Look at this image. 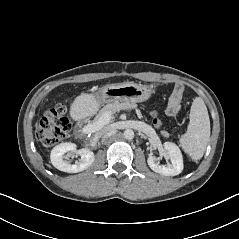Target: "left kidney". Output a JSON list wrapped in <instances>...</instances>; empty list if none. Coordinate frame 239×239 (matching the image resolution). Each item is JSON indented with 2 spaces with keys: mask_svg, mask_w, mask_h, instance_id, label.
<instances>
[{
  "mask_svg": "<svg viewBox=\"0 0 239 239\" xmlns=\"http://www.w3.org/2000/svg\"><path fill=\"white\" fill-rule=\"evenodd\" d=\"M163 146L171 163L160 165L156 157L149 155L147 159L149 167L154 172L165 176H176L180 174L183 170V157L179 147L172 142H165Z\"/></svg>",
  "mask_w": 239,
  "mask_h": 239,
  "instance_id": "left-kidney-1",
  "label": "left kidney"
}]
</instances>
